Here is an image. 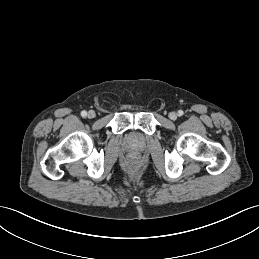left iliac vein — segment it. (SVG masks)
Returning a JSON list of instances; mask_svg holds the SVG:
<instances>
[{
	"mask_svg": "<svg viewBox=\"0 0 259 259\" xmlns=\"http://www.w3.org/2000/svg\"><path fill=\"white\" fill-rule=\"evenodd\" d=\"M177 117H178V115H177L176 112H171V113L169 114V118H170L171 120H176Z\"/></svg>",
	"mask_w": 259,
	"mask_h": 259,
	"instance_id": "4c4485c4",
	"label": "left iliac vein"
}]
</instances>
